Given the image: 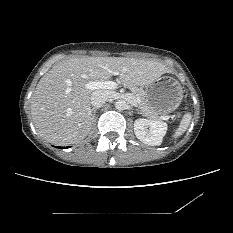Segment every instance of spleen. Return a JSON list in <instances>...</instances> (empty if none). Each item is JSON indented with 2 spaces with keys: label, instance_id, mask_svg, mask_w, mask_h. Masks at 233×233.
Here are the masks:
<instances>
[{
  "label": "spleen",
  "instance_id": "obj_1",
  "mask_svg": "<svg viewBox=\"0 0 233 233\" xmlns=\"http://www.w3.org/2000/svg\"><path fill=\"white\" fill-rule=\"evenodd\" d=\"M192 115L191 113H185L180 121L178 128L175 131L174 137L177 138L181 136L188 128L191 122Z\"/></svg>",
  "mask_w": 233,
  "mask_h": 233
}]
</instances>
